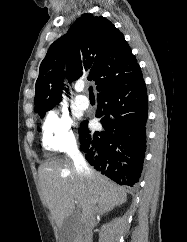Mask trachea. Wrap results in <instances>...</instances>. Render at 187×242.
Here are the masks:
<instances>
[{"mask_svg":"<svg viewBox=\"0 0 187 242\" xmlns=\"http://www.w3.org/2000/svg\"><path fill=\"white\" fill-rule=\"evenodd\" d=\"M89 96H90V98H94V92H93L92 86L89 87Z\"/></svg>","mask_w":187,"mask_h":242,"instance_id":"3493384b","label":"trachea"}]
</instances>
